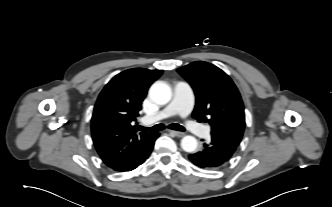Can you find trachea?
<instances>
[{"label":"trachea","mask_w":332,"mask_h":207,"mask_svg":"<svg viewBox=\"0 0 332 207\" xmlns=\"http://www.w3.org/2000/svg\"><path fill=\"white\" fill-rule=\"evenodd\" d=\"M139 128L141 130L147 131V132H157V131H161V130L165 129V126L163 124H157L150 128H145L142 126H139ZM168 128L176 130V131H185V128L183 126L176 124V123L168 125Z\"/></svg>","instance_id":"trachea-1"}]
</instances>
